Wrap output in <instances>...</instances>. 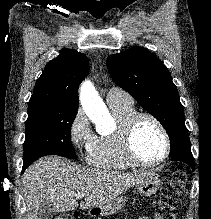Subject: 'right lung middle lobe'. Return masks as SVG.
<instances>
[{
  "mask_svg": "<svg viewBox=\"0 0 211 219\" xmlns=\"http://www.w3.org/2000/svg\"><path fill=\"white\" fill-rule=\"evenodd\" d=\"M77 110L58 109L48 103L28 105L24 163L31 164L45 155L77 159L70 131Z\"/></svg>",
  "mask_w": 211,
  "mask_h": 219,
  "instance_id": "1",
  "label": "right lung middle lobe"
}]
</instances>
